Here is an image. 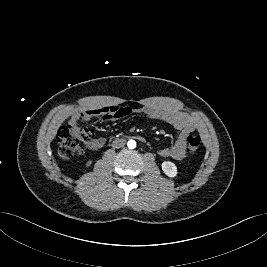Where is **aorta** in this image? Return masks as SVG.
Returning a JSON list of instances; mask_svg holds the SVG:
<instances>
[{"label": "aorta", "mask_w": 267, "mask_h": 267, "mask_svg": "<svg viewBox=\"0 0 267 267\" xmlns=\"http://www.w3.org/2000/svg\"><path fill=\"white\" fill-rule=\"evenodd\" d=\"M127 146L130 149H134L136 147V142L134 140H129Z\"/></svg>", "instance_id": "762f6f07"}]
</instances>
